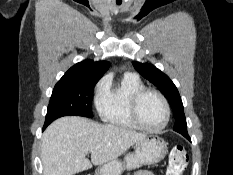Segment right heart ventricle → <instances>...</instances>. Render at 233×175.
Returning a JSON list of instances; mask_svg holds the SVG:
<instances>
[{
  "mask_svg": "<svg viewBox=\"0 0 233 175\" xmlns=\"http://www.w3.org/2000/svg\"><path fill=\"white\" fill-rule=\"evenodd\" d=\"M144 85L139 77L125 74L117 83L107 79L96 98L100 118L106 123L124 130H137L129 112L131 96Z\"/></svg>",
  "mask_w": 233,
  "mask_h": 175,
  "instance_id": "e07e8e85",
  "label": "right heart ventricle"
}]
</instances>
